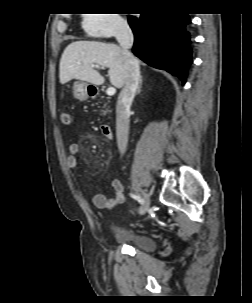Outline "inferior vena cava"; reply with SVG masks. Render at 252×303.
I'll return each mask as SVG.
<instances>
[{
    "mask_svg": "<svg viewBox=\"0 0 252 303\" xmlns=\"http://www.w3.org/2000/svg\"><path fill=\"white\" fill-rule=\"evenodd\" d=\"M115 36L122 49L126 70L125 83L116 105L117 145L120 153L124 154L128 143L130 106L138 88L140 70L137 59L129 51L134 41L129 25L124 21L118 23Z\"/></svg>",
    "mask_w": 252,
    "mask_h": 303,
    "instance_id": "1",
    "label": "inferior vena cava"
}]
</instances>
